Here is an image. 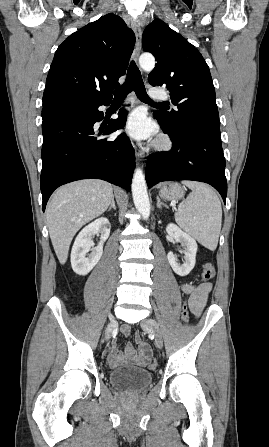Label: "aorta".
I'll list each match as a JSON object with an SVG mask.
<instances>
[{
	"instance_id": "aorta-1",
	"label": "aorta",
	"mask_w": 269,
	"mask_h": 447,
	"mask_svg": "<svg viewBox=\"0 0 269 447\" xmlns=\"http://www.w3.org/2000/svg\"><path fill=\"white\" fill-rule=\"evenodd\" d=\"M139 66L145 72H150L155 68V58L152 54H142L139 58ZM132 196L136 210L143 216V220H147L150 216V202L147 194L146 182L144 174L140 168L135 170L132 184Z\"/></svg>"
}]
</instances>
